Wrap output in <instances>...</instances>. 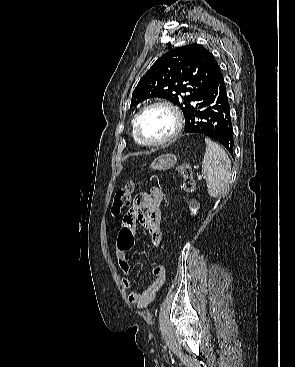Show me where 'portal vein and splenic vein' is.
I'll use <instances>...</instances> for the list:
<instances>
[{
	"instance_id": "1",
	"label": "portal vein and splenic vein",
	"mask_w": 295,
	"mask_h": 367,
	"mask_svg": "<svg viewBox=\"0 0 295 367\" xmlns=\"http://www.w3.org/2000/svg\"><path fill=\"white\" fill-rule=\"evenodd\" d=\"M204 178H205V176H203V175H201V174L197 175V179H198L199 181H202Z\"/></svg>"
}]
</instances>
